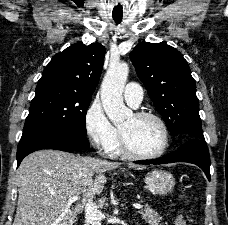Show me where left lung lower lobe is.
I'll return each mask as SVG.
<instances>
[{
    "label": "left lung lower lobe",
    "mask_w": 228,
    "mask_h": 225,
    "mask_svg": "<svg viewBox=\"0 0 228 225\" xmlns=\"http://www.w3.org/2000/svg\"><path fill=\"white\" fill-rule=\"evenodd\" d=\"M187 162L199 166L210 180V155L205 139L190 138L178 150L161 158L146 161H135L136 164H166Z\"/></svg>",
    "instance_id": "left-lung-lower-lobe-1"
}]
</instances>
